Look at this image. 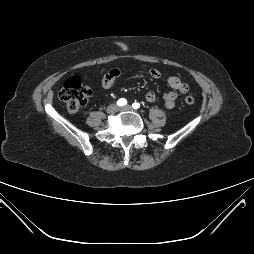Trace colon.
<instances>
[{"label": "colon", "instance_id": "1", "mask_svg": "<svg viewBox=\"0 0 254 254\" xmlns=\"http://www.w3.org/2000/svg\"><path fill=\"white\" fill-rule=\"evenodd\" d=\"M91 95V89L77 76L66 80L59 93L60 99L66 104L70 113H77L86 105ZM194 102L195 99L193 96H187L185 98V103L188 105H192Z\"/></svg>", "mask_w": 254, "mask_h": 254}]
</instances>
